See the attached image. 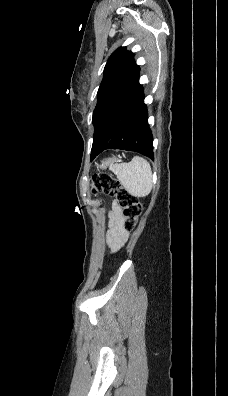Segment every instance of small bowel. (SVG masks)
<instances>
[{"label":"small bowel","mask_w":228,"mask_h":396,"mask_svg":"<svg viewBox=\"0 0 228 396\" xmlns=\"http://www.w3.org/2000/svg\"><path fill=\"white\" fill-rule=\"evenodd\" d=\"M110 230L107 237V242L112 249L120 248L126 237V229L123 225V217L121 216L120 209L117 205H113L110 213Z\"/></svg>","instance_id":"obj_1"}]
</instances>
